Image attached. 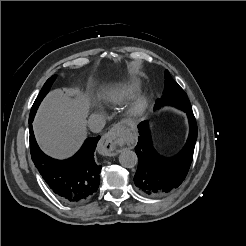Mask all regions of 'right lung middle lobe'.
<instances>
[{
  "label": "right lung middle lobe",
  "instance_id": "obj_1",
  "mask_svg": "<svg viewBox=\"0 0 246 246\" xmlns=\"http://www.w3.org/2000/svg\"><path fill=\"white\" fill-rule=\"evenodd\" d=\"M56 78V75H53L52 77H50L44 84L43 88L41 89L39 95L37 96L32 108H31V111H30V116H29V120L30 119H33L34 116H35V113L41 103V101L43 100V98L46 96V94L49 92L50 90V87L52 85V83L54 82Z\"/></svg>",
  "mask_w": 246,
  "mask_h": 246
}]
</instances>
